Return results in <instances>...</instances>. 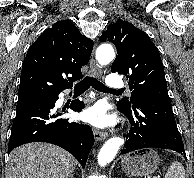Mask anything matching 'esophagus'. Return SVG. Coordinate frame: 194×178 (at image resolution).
<instances>
[{
    "mask_svg": "<svg viewBox=\"0 0 194 178\" xmlns=\"http://www.w3.org/2000/svg\"><path fill=\"white\" fill-rule=\"evenodd\" d=\"M90 69L93 75H96V76L101 75V69L99 65L97 64V62L95 61L94 57H92L90 60ZM93 133H94L95 139L98 141L104 140L108 137L107 132L99 131L96 129H94Z\"/></svg>",
    "mask_w": 194,
    "mask_h": 178,
    "instance_id": "1",
    "label": "esophagus"
}]
</instances>
